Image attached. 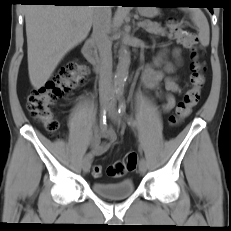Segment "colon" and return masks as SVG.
Returning a JSON list of instances; mask_svg holds the SVG:
<instances>
[{
	"label": "colon",
	"mask_w": 231,
	"mask_h": 231,
	"mask_svg": "<svg viewBox=\"0 0 231 231\" xmlns=\"http://www.w3.org/2000/svg\"><path fill=\"white\" fill-rule=\"evenodd\" d=\"M169 37L176 40L191 53L190 88L176 106L169 122L173 126L179 125L198 104L201 90L205 83V65L201 60L202 47L195 33L186 29L179 21L170 19L167 22ZM88 77L86 65L73 61L62 67L44 86L32 90L27 98V109L30 115L39 121L50 134H58L60 124L53 114V106L64 95L83 84ZM138 157L135 152L127 153L122 161L110 165L108 175L121 177L126 172L134 171ZM92 175L98 178L102 175V167L95 165Z\"/></svg>",
	"instance_id": "1"
}]
</instances>
